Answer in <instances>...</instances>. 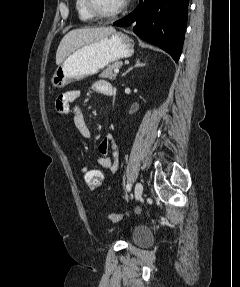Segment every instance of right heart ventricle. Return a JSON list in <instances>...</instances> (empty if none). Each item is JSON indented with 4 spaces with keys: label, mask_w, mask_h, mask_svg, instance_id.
I'll return each mask as SVG.
<instances>
[{
    "label": "right heart ventricle",
    "mask_w": 240,
    "mask_h": 287,
    "mask_svg": "<svg viewBox=\"0 0 240 287\" xmlns=\"http://www.w3.org/2000/svg\"><path fill=\"white\" fill-rule=\"evenodd\" d=\"M75 8L80 20L87 22L95 19L87 9L86 0H75Z\"/></svg>",
    "instance_id": "e07e8e85"
}]
</instances>
